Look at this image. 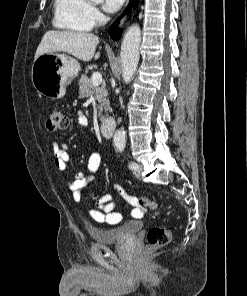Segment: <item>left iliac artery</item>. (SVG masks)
<instances>
[{
  "mask_svg": "<svg viewBox=\"0 0 247 296\" xmlns=\"http://www.w3.org/2000/svg\"><path fill=\"white\" fill-rule=\"evenodd\" d=\"M128 166L132 170H135L138 167V165L136 163H134V162H130Z\"/></svg>",
  "mask_w": 247,
  "mask_h": 296,
  "instance_id": "left-iliac-artery-1",
  "label": "left iliac artery"
}]
</instances>
